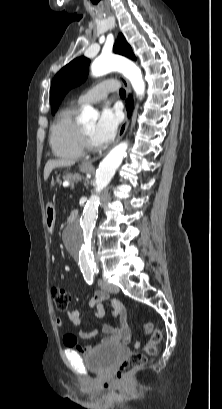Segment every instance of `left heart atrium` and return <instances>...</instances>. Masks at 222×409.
I'll return each instance as SVG.
<instances>
[{"label":"left heart atrium","instance_id":"1","mask_svg":"<svg viewBox=\"0 0 222 409\" xmlns=\"http://www.w3.org/2000/svg\"><path fill=\"white\" fill-rule=\"evenodd\" d=\"M120 123L118 111L112 108H104L93 131V141L97 146L108 144L115 136Z\"/></svg>","mask_w":222,"mask_h":409}]
</instances>
